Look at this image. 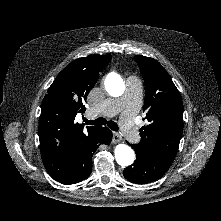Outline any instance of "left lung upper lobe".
Returning <instances> with one entry per match:
<instances>
[{"label":"left lung upper lobe","mask_w":221,"mask_h":221,"mask_svg":"<svg viewBox=\"0 0 221 221\" xmlns=\"http://www.w3.org/2000/svg\"><path fill=\"white\" fill-rule=\"evenodd\" d=\"M145 80L143 112L148 125L140 129L138 149L146 155L176 156L183 133L181 95L167 71L156 60L136 55Z\"/></svg>","instance_id":"1"}]
</instances>
